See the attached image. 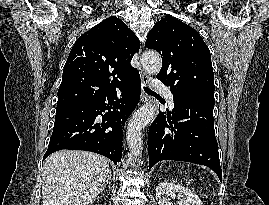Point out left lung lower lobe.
<instances>
[{
	"instance_id": "left-lung-lower-lobe-1",
	"label": "left lung lower lobe",
	"mask_w": 269,
	"mask_h": 205,
	"mask_svg": "<svg viewBox=\"0 0 269 205\" xmlns=\"http://www.w3.org/2000/svg\"><path fill=\"white\" fill-rule=\"evenodd\" d=\"M172 116L160 112L148 134L149 169L161 160L186 161L211 168L222 181L210 98H174Z\"/></svg>"
}]
</instances>
